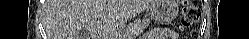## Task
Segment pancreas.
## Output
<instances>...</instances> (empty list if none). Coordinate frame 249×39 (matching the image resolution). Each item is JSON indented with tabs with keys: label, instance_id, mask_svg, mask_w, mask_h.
<instances>
[{
	"label": "pancreas",
	"instance_id": "obj_1",
	"mask_svg": "<svg viewBox=\"0 0 249 39\" xmlns=\"http://www.w3.org/2000/svg\"><path fill=\"white\" fill-rule=\"evenodd\" d=\"M149 19H136L133 23L126 26L122 32L124 39H131L143 33V31L149 26Z\"/></svg>",
	"mask_w": 249,
	"mask_h": 39
}]
</instances>
